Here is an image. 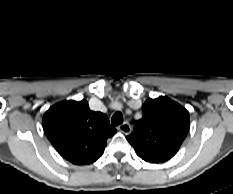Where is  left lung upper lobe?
<instances>
[{
  "mask_svg": "<svg viewBox=\"0 0 233 194\" xmlns=\"http://www.w3.org/2000/svg\"><path fill=\"white\" fill-rule=\"evenodd\" d=\"M142 112V119L135 122L126 139L144 161L166 162L177 153L189 131V113L164 96L146 100Z\"/></svg>",
  "mask_w": 233,
  "mask_h": 194,
  "instance_id": "1",
  "label": "left lung upper lobe"
}]
</instances>
